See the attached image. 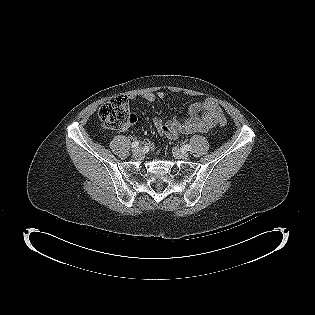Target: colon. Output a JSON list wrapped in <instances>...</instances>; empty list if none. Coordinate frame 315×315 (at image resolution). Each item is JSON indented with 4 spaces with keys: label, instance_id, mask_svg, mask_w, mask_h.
Listing matches in <instances>:
<instances>
[{
    "label": "colon",
    "instance_id": "5ec220e1",
    "mask_svg": "<svg viewBox=\"0 0 315 315\" xmlns=\"http://www.w3.org/2000/svg\"><path fill=\"white\" fill-rule=\"evenodd\" d=\"M98 116L104 127L112 130L124 129L136 119L129 110L128 100L123 96L115 97L103 104L99 109ZM219 124L225 127L226 119L220 118Z\"/></svg>",
    "mask_w": 315,
    "mask_h": 315
}]
</instances>
